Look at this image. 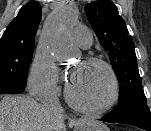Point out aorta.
<instances>
[{"label": "aorta", "mask_w": 151, "mask_h": 131, "mask_svg": "<svg viewBox=\"0 0 151 131\" xmlns=\"http://www.w3.org/2000/svg\"><path fill=\"white\" fill-rule=\"evenodd\" d=\"M74 21V12L68 7H62L52 15L46 27L47 37L59 58L70 59L75 56V51L66 36L69 26Z\"/></svg>", "instance_id": "obj_1"}]
</instances>
